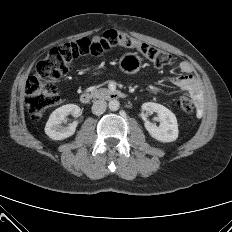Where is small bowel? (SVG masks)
I'll return each instance as SVG.
<instances>
[{
  "instance_id": "obj_1",
  "label": "small bowel",
  "mask_w": 232,
  "mask_h": 232,
  "mask_svg": "<svg viewBox=\"0 0 232 232\" xmlns=\"http://www.w3.org/2000/svg\"><path fill=\"white\" fill-rule=\"evenodd\" d=\"M181 74L174 75L170 78V82L185 92L191 94L199 103L198 113L202 110V91L199 78L195 74L193 65L186 60L178 63Z\"/></svg>"
}]
</instances>
